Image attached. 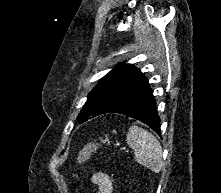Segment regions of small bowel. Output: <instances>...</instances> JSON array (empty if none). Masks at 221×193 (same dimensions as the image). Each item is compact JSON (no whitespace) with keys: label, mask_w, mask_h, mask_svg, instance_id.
Here are the masks:
<instances>
[{"label":"small bowel","mask_w":221,"mask_h":193,"mask_svg":"<svg viewBox=\"0 0 221 193\" xmlns=\"http://www.w3.org/2000/svg\"><path fill=\"white\" fill-rule=\"evenodd\" d=\"M91 182L98 187L97 193H112L113 186L108 174L97 172L92 175Z\"/></svg>","instance_id":"c3829d8e"}]
</instances>
